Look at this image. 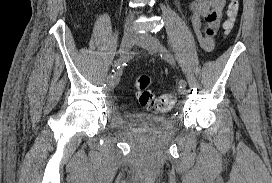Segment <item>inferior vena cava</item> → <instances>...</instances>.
Segmentation results:
<instances>
[{
	"mask_svg": "<svg viewBox=\"0 0 272 183\" xmlns=\"http://www.w3.org/2000/svg\"><path fill=\"white\" fill-rule=\"evenodd\" d=\"M134 14L130 13V15L128 16L127 20H126V24L125 27H129L131 24V21L133 20Z\"/></svg>",
	"mask_w": 272,
	"mask_h": 183,
	"instance_id": "obj_1",
	"label": "inferior vena cava"
}]
</instances>
